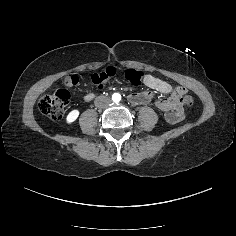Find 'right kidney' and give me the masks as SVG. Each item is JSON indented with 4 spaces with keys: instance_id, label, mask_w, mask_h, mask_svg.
<instances>
[{
    "instance_id": "obj_1",
    "label": "right kidney",
    "mask_w": 236,
    "mask_h": 236,
    "mask_svg": "<svg viewBox=\"0 0 236 236\" xmlns=\"http://www.w3.org/2000/svg\"><path fill=\"white\" fill-rule=\"evenodd\" d=\"M79 116H80V110L73 109L67 114L65 118V123L67 125H72L78 119Z\"/></svg>"
}]
</instances>
